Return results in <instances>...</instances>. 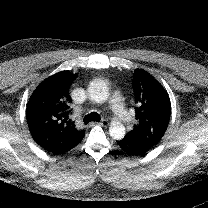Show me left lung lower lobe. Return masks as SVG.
<instances>
[{
    "mask_svg": "<svg viewBox=\"0 0 208 208\" xmlns=\"http://www.w3.org/2000/svg\"><path fill=\"white\" fill-rule=\"evenodd\" d=\"M117 144L120 146V148L125 151L126 153L130 155H143L147 151H149L150 147L140 143L133 141L131 139H128L124 137L122 140L117 141Z\"/></svg>",
    "mask_w": 208,
    "mask_h": 208,
    "instance_id": "1",
    "label": "left lung lower lobe"
}]
</instances>
